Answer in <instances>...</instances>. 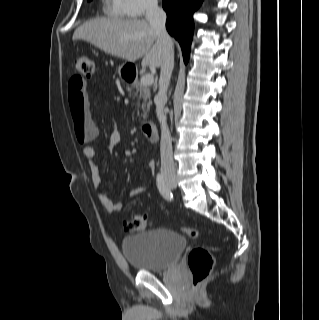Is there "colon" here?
Here are the masks:
<instances>
[{
	"label": "colon",
	"instance_id": "1",
	"mask_svg": "<svg viewBox=\"0 0 319 320\" xmlns=\"http://www.w3.org/2000/svg\"><path fill=\"white\" fill-rule=\"evenodd\" d=\"M73 70L77 77L90 79L95 72V62L90 56L82 55L73 60ZM75 136L79 143H87L95 137L94 129L82 113L72 116ZM149 225V218L145 215L132 214L125 220V228L129 232H139ZM182 233L190 238H197L199 231L194 228H182ZM187 265L192 276L193 286H199L212 272L214 258L204 247L193 248L187 257Z\"/></svg>",
	"mask_w": 319,
	"mask_h": 320
}]
</instances>
